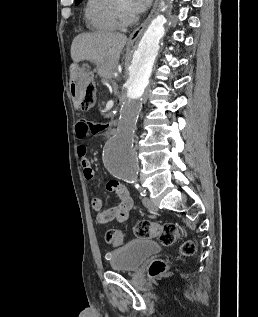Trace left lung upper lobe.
Returning a JSON list of instances; mask_svg holds the SVG:
<instances>
[{"label":"left lung upper lobe","mask_w":258,"mask_h":317,"mask_svg":"<svg viewBox=\"0 0 258 317\" xmlns=\"http://www.w3.org/2000/svg\"><path fill=\"white\" fill-rule=\"evenodd\" d=\"M82 0H75V5H78Z\"/></svg>","instance_id":"1"}]
</instances>
